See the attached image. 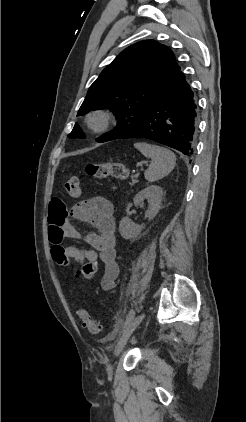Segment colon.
Segmentation results:
<instances>
[{
	"label": "colon",
	"mask_w": 246,
	"mask_h": 422,
	"mask_svg": "<svg viewBox=\"0 0 246 422\" xmlns=\"http://www.w3.org/2000/svg\"><path fill=\"white\" fill-rule=\"evenodd\" d=\"M85 171L88 176L96 179H104L107 177H115L118 179H126L128 177L127 167L120 162H108V163H90L86 165ZM65 189L71 197H79L82 193L80 180L72 176L65 184ZM53 260L57 265L66 267L70 264L71 260L66 255L62 248H54L52 250ZM97 273V264L88 262L78 272V274L86 279L91 280ZM77 316L81 321L82 326L88 330L91 334H98L102 327L98 320L92 318L85 309L78 308Z\"/></svg>",
	"instance_id": "colon-1"
}]
</instances>
